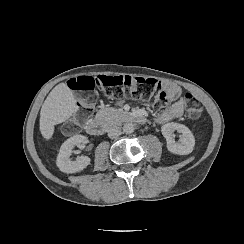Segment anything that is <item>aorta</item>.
I'll return each instance as SVG.
<instances>
[{
    "instance_id": "obj_1",
    "label": "aorta",
    "mask_w": 244,
    "mask_h": 244,
    "mask_svg": "<svg viewBox=\"0 0 244 244\" xmlns=\"http://www.w3.org/2000/svg\"><path fill=\"white\" fill-rule=\"evenodd\" d=\"M123 132L126 134H131L134 132V125L132 123H125L123 125Z\"/></svg>"
}]
</instances>
